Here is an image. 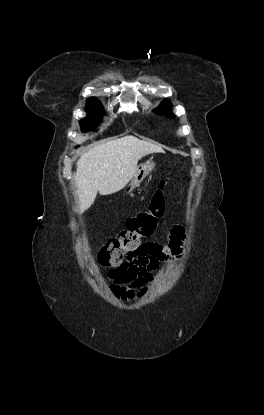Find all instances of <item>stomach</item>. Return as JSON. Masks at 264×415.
<instances>
[{"instance_id":"1","label":"stomach","mask_w":264,"mask_h":415,"mask_svg":"<svg viewBox=\"0 0 264 415\" xmlns=\"http://www.w3.org/2000/svg\"><path fill=\"white\" fill-rule=\"evenodd\" d=\"M154 166L155 164L152 161L139 164L130 183L125 187L124 193L126 195H132L133 190L140 185L145 177L154 169Z\"/></svg>"}]
</instances>
